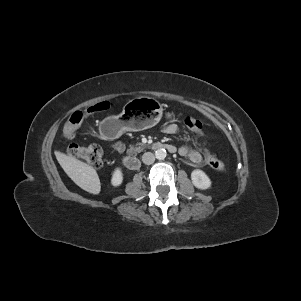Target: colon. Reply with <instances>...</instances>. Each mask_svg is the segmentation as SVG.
<instances>
[{"label":"colon","instance_id":"obj_1","mask_svg":"<svg viewBox=\"0 0 301 301\" xmlns=\"http://www.w3.org/2000/svg\"><path fill=\"white\" fill-rule=\"evenodd\" d=\"M111 107L110 102L101 101L96 104L91 105L84 111L74 112L66 124L63 127V137L67 140H72L75 137V133L80 125L83 123L88 115L107 110ZM162 112L169 118H175L176 112L173 111L168 106L162 107ZM185 126L190 129L197 136L201 137L203 135V126L200 120L193 117L184 118ZM67 153L71 157L78 158L93 168H101L104 164L103 150L100 146L95 144L90 145H77L72 144L67 148ZM204 158L206 163L215 170L221 171L224 169V164L222 161L214 157L208 149H204Z\"/></svg>","mask_w":301,"mask_h":301}]
</instances>
